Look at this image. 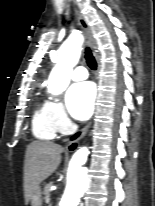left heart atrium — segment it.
Listing matches in <instances>:
<instances>
[{
    "instance_id": "39dd6f15",
    "label": "left heart atrium",
    "mask_w": 155,
    "mask_h": 206,
    "mask_svg": "<svg viewBox=\"0 0 155 206\" xmlns=\"http://www.w3.org/2000/svg\"><path fill=\"white\" fill-rule=\"evenodd\" d=\"M95 96V86L91 82L73 84L66 95L70 114L77 120L89 118L94 108Z\"/></svg>"
}]
</instances>
